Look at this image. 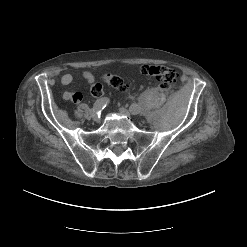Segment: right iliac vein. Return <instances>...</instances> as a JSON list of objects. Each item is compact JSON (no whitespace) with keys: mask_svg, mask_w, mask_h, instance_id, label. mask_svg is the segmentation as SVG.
Here are the masks:
<instances>
[{"mask_svg":"<svg viewBox=\"0 0 247 247\" xmlns=\"http://www.w3.org/2000/svg\"><path fill=\"white\" fill-rule=\"evenodd\" d=\"M91 117H92V119L94 120V121H96V122H98V116H97V114H96V112H94L93 110L91 111Z\"/></svg>","mask_w":247,"mask_h":247,"instance_id":"63e3f726","label":"right iliac vein"}]
</instances>
